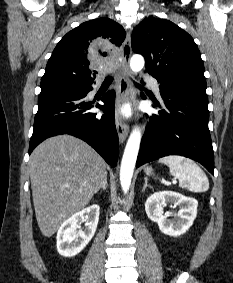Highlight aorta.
<instances>
[{
  "mask_svg": "<svg viewBox=\"0 0 233 283\" xmlns=\"http://www.w3.org/2000/svg\"><path fill=\"white\" fill-rule=\"evenodd\" d=\"M145 64L141 55H133L130 60V68L133 72L140 71ZM141 132L134 129L127 141L120 167V183L124 194L129 191L131 180L140 148Z\"/></svg>",
  "mask_w": 233,
  "mask_h": 283,
  "instance_id": "aorta-1",
  "label": "aorta"
}]
</instances>
